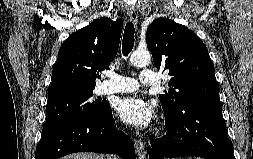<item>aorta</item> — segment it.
Returning a JSON list of instances; mask_svg holds the SVG:
<instances>
[{"label": "aorta", "mask_w": 253, "mask_h": 159, "mask_svg": "<svg viewBox=\"0 0 253 159\" xmlns=\"http://www.w3.org/2000/svg\"><path fill=\"white\" fill-rule=\"evenodd\" d=\"M151 61V55L146 50H136L131 54L130 63L134 66H146Z\"/></svg>", "instance_id": "aorta-1"}]
</instances>
